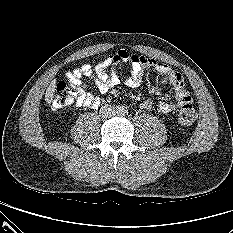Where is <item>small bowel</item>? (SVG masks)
<instances>
[{
    "instance_id": "1",
    "label": "small bowel",
    "mask_w": 233,
    "mask_h": 233,
    "mask_svg": "<svg viewBox=\"0 0 233 233\" xmlns=\"http://www.w3.org/2000/svg\"><path fill=\"white\" fill-rule=\"evenodd\" d=\"M120 63H128L130 65V74L124 81L125 85L130 88H137L141 85L144 72L147 69L159 73L162 76V82L172 86L175 102H159L157 106L159 112L169 113L185 104L192 103V97L184 87L181 74L172 69L169 65L146 56L137 55L128 50H118L98 63L95 67L84 64L66 74L71 86L77 92L76 105L97 109L101 105V99L86 90L82 78H94L98 91L105 94L121 83L119 75L115 72L108 74L106 68L109 66H116ZM151 107L152 102L149 100L141 104V108L143 109H150Z\"/></svg>"
}]
</instances>
